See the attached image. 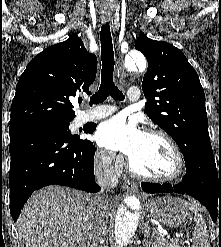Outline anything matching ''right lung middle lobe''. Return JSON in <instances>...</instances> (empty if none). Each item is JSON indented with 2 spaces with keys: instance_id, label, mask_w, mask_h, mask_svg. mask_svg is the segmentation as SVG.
<instances>
[{
  "instance_id": "dd1d6c3e",
  "label": "right lung middle lobe",
  "mask_w": 221,
  "mask_h": 247,
  "mask_svg": "<svg viewBox=\"0 0 221 247\" xmlns=\"http://www.w3.org/2000/svg\"><path fill=\"white\" fill-rule=\"evenodd\" d=\"M69 124L70 122H65V123H48V124H43L40 126H36V128H43L50 130L56 134H59L65 138L68 139H76L78 136L74 135L72 136L71 133L69 132Z\"/></svg>"
}]
</instances>
